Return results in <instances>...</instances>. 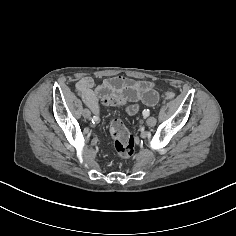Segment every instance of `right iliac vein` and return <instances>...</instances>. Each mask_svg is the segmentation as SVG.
<instances>
[{
	"mask_svg": "<svg viewBox=\"0 0 236 236\" xmlns=\"http://www.w3.org/2000/svg\"><path fill=\"white\" fill-rule=\"evenodd\" d=\"M82 115H83V117L84 118H90L91 117V112L88 110V109H83V111H82Z\"/></svg>",
	"mask_w": 236,
	"mask_h": 236,
	"instance_id": "right-iliac-vein-1",
	"label": "right iliac vein"
}]
</instances>
